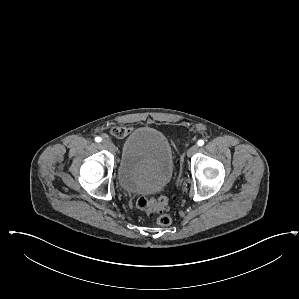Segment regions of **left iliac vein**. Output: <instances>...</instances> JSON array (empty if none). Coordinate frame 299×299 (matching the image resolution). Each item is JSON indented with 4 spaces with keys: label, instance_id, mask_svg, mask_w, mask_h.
<instances>
[{
    "label": "left iliac vein",
    "instance_id": "4c4485c4",
    "mask_svg": "<svg viewBox=\"0 0 299 299\" xmlns=\"http://www.w3.org/2000/svg\"><path fill=\"white\" fill-rule=\"evenodd\" d=\"M198 145L197 144H194V145H192L189 149H188V151H187V155L189 156V157H191L192 155H194L197 151H198Z\"/></svg>",
    "mask_w": 299,
    "mask_h": 299
}]
</instances>
